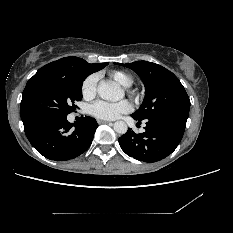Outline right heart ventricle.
I'll list each match as a JSON object with an SVG mask.
<instances>
[{
	"mask_svg": "<svg viewBox=\"0 0 233 233\" xmlns=\"http://www.w3.org/2000/svg\"><path fill=\"white\" fill-rule=\"evenodd\" d=\"M108 76L124 87H129L133 83V77L123 70H112L108 72Z\"/></svg>",
	"mask_w": 233,
	"mask_h": 233,
	"instance_id": "1",
	"label": "right heart ventricle"
}]
</instances>
